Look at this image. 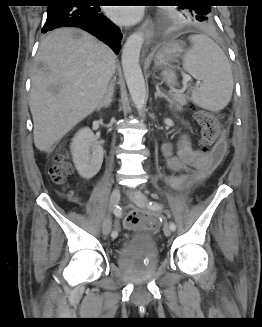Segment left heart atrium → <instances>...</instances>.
I'll list each match as a JSON object with an SVG mask.
<instances>
[{"label": "left heart atrium", "instance_id": "left-heart-atrium-1", "mask_svg": "<svg viewBox=\"0 0 262 327\" xmlns=\"http://www.w3.org/2000/svg\"><path fill=\"white\" fill-rule=\"evenodd\" d=\"M108 14L117 23L132 24L140 19L142 13L137 7H111Z\"/></svg>", "mask_w": 262, "mask_h": 327}]
</instances>
